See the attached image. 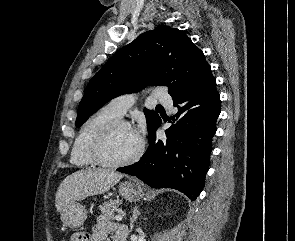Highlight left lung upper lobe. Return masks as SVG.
I'll use <instances>...</instances> for the list:
<instances>
[{
  "mask_svg": "<svg viewBox=\"0 0 295 241\" xmlns=\"http://www.w3.org/2000/svg\"><path fill=\"white\" fill-rule=\"evenodd\" d=\"M211 74L203 52L176 28L158 26L121 48L90 80L78 107L76 126L111 99L165 85L172 98ZM148 133L160 121L155 111L144 109Z\"/></svg>",
  "mask_w": 295,
  "mask_h": 241,
  "instance_id": "left-lung-upper-lobe-1",
  "label": "left lung upper lobe"
}]
</instances>
